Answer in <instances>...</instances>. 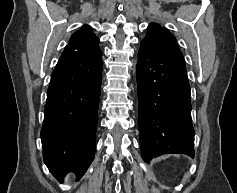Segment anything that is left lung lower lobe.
Instances as JSON below:
<instances>
[{"label":"left lung lower lobe","mask_w":237,"mask_h":193,"mask_svg":"<svg viewBox=\"0 0 237 193\" xmlns=\"http://www.w3.org/2000/svg\"><path fill=\"white\" fill-rule=\"evenodd\" d=\"M142 158L166 153L194 157L190 86L184 60L141 42L137 63Z\"/></svg>","instance_id":"left-lung-lower-lobe-1"}]
</instances>
